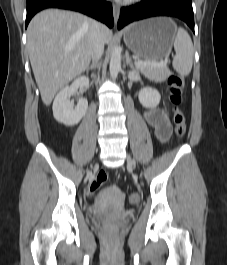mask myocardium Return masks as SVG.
Returning a JSON list of instances; mask_svg holds the SVG:
<instances>
[{"instance_id":"f54148a6","label":"myocardium","mask_w":227,"mask_h":265,"mask_svg":"<svg viewBox=\"0 0 227 265\" xmlns=\"http://www.w3.org/2000/svg\"><path fill=\"white\" fill-rule=\"evenodd\" d=\"M128 1H130V2H136V1H140V0H128Z\"/></svg>"}]
</instances>
